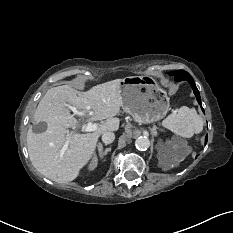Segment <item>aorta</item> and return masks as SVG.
<instances>
[{"label":"aorta","instance_id":"aorta-1","mask_svg":"<svg viewBox=\"0 0 233 233\" xmlns=\"http://www.w3.org/2000/svg\"><path fill=\"white\" fill-rule=\"evenodd\" d=\"M135 146L138 150H147L150 146V140L148 137L140 136L136 139Z\"/></svg>","mask_w":233,"mask_h":233}]
</instances>
